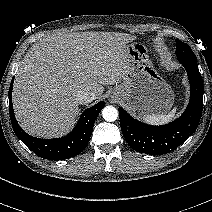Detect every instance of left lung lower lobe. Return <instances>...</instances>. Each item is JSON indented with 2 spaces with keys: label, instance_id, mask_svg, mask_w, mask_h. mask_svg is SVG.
Here are the masks:
<instances>
[{
  "label": "left lung lower lobe",
  "instance_id": "obj_1",
  "mask_svg": "<svg viewBox=\"0 0 212 212\" xmlns=\"http://www.w3.org/2000/svg\"><path fill=\"white\" fill-rule=\"evenodd\" d=\"M185 67L190 83V100L184 113L173 122L152 126L132 118L119 108L120 125L127 143L137 152L163 155L174 151L196 130L203 108V83L197 59L178 57Z\"/></svg>",
  "mask_w": 212,
  "mask_h": 212
}]
</instances>
